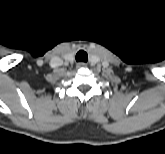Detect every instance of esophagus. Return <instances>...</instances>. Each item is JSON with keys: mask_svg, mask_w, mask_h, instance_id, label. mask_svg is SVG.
<instances>
[{"mask_svg": "<svg viewBox=\"0 0 165 154\" xmlns=\"http://www.w3.org/2000/svg\"><path fill=\"white\" fill-rule=\"evenodd\" d=\"M86 66H87L86 63H84V62H79V63L77 64V67H78V68H81V67L85 68Z\"/></svg>", "mask_w": 165, "mask_h": 154, "instance_id": "1", "label": "esophagus"}]
</instances>
